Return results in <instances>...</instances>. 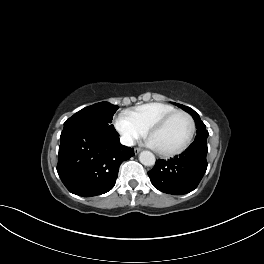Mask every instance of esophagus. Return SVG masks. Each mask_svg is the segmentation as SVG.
<instances>
[{"label": "esophagus", "instance_id": "obj_1", "mask_svg": "<svg viewBox=\"0 0 264 264\" xmlns=\"http://www.w3.org/2000/svg\"><path fill=\"white\" fill-rule=\"evenodd\" d=\"M140 151H141L140 148H135V149H134V153H135V154H138Z\"/></svg>", "mask_w": 264, "mask_h": 264}]
</instances>
